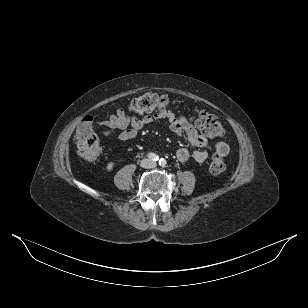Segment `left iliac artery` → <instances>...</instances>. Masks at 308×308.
I'll return each instance as SVG.
<instances>
[{"label": "left iliac artery", "instance_id": "1", "mask_svg": "<svg viewBox=\"0 0 308 308\" xmlns=\"http://www.w3.org/2000/svg\"><path fill=\"white\" fill-rule=\"evenodd\" d=\"M159 165L162 166V167H164V166L166 165V160L163 159V158H161V159L159 160Z\"/></svg>", "mask_w": 308, "mask_h": 308}]
</instances>
